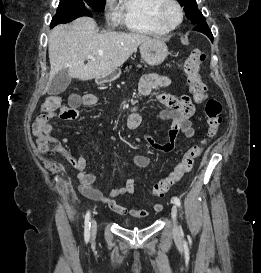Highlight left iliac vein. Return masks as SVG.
Segmentation results:
<instances>
[{
	"label": "left iliac vein",
	"mask_w": 261,
	"mask_h": 273,
	"mask_svg": "<svg viewBox=\"0 0 261 273\" xmlns=\"http://www.w3.org/2000/svg\"><path fill=\"white\" fill-rule=\"evenodd\" d=\"M171 215H172V219L174 223V228H173L174 234L180 235V227L177 224V207L175 205H173L171 208Z\"/></svg>",
	"instance_id": "1"
}]
</instances>
